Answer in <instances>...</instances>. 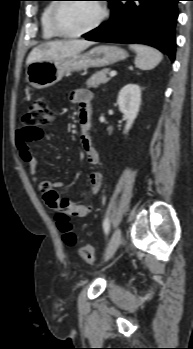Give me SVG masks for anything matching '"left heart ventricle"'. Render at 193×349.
<instances>
[{
  "instance_id": "obj_1",
  "label": "left heart ventricle",
  "mask_w": 193,
  "mask_h": 349,
  "mask_svg": "<svg viewBox=\"0 0 193 349\" xmlns=\"http://www.w3.org/2000/svg\"><path fill=\"white\" fill-rule=\"evenodd\" d=\"M100 8L95 2L64 4L58 13L60 28L69 33L79 32L91 26L99 17Z\"/></svg>"
}]
</instances>
